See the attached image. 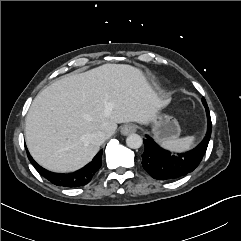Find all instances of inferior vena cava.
<instances>
[{"mask_svg":"<svg viewBox=\"0 0 241 241\" xmlns=\"http://www.w3.org/2000/svg\"><path fill=\"white\" fill-rule=\"evenodd\" d=\"M92 144L100 146L106 140V134L103 131H95L89 135Z\"/></svg>","mask_w":241,"mask_h":241,"instance_id":"inferior-vena-cava-1","label":"inferior vena cava"}]
</instances>
